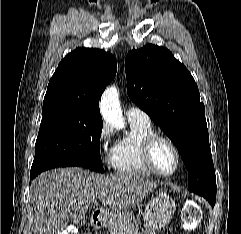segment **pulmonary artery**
I'll list each match as a JSON object with an SVG mask.
<instances>
[{
    "label": "pulmonary artery",
    "mask_w": 241,
    "mask_h": 234,
    "mask_svg": "<svg viewBox=\"0 0 241 234\" xmlns=\"http://www.w3.org/2000/svg\"><path fill=\"white\" fill-rule=\"evenodd\" d=\"M126 117L129 122L150 123L149 115L138 107H129Z\"/></svg>",
    "instance_id": "obj_1"
}]
</instances>
